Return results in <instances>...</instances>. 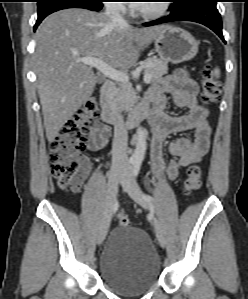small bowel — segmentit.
Instances as JSON below:
<instances>
[{"label":"small bowel","mask_w":248,"mask_h":299,"mask_svg":"<svg viewBox=\"0 0 248 299\" xmlns=\"http://www.w3.org/2000/svg\"><path fill=\"white\" fill-rule=\"evenodd\" d=\"M197 83L185 72L178 71L155 83L147 94L152 103L151 125L153 141L150 150L151 168L157 177L167 175L174 180L180 170L199 162L209 151L211 128L207 122V109L197 101ZM171 95L176 107L186 109V113L171 116L164 113L167 96ZM195 131V139L176 138L169 144L171 161L166 165L163 159V144L168 135L177 132ZM110 130L100 121L89 128L88 148L97 152L109 141ZM82 165L87 174L90 166L83 158Z\"/></svg>","instance_id":"1"}]
</instances>
